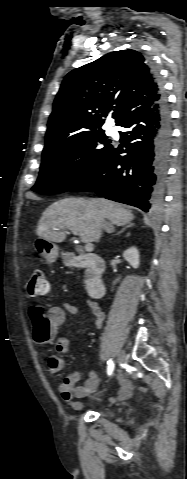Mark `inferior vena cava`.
<instances>
[{"label":"inferior vena cava","mask_w":187,"mask_h":479,"mask_svg":"<svg viewBox=\"0 0 187 479\" xmlns=\"http://www.w3.org/2000/svg\"><path fill=\"white\" fill-rule=\"evenodd\" d=\"M99 222H100V226L102 228H105L108 226V223L105 221V219L103 217H99Z\"/></svg>","instance_id":"602c4592"}]
</instances>
